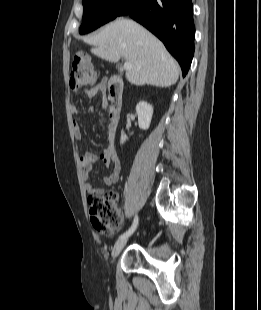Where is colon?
Masks as SVG:
<instances>
[{
  "label": "colon",
  "instance_id": "5ec220e1",
  "mask_svg": "<svg viewBox=\"0 0 261 310\" xmlns=\"http://www.w3.org/2000/svg\"><path fill=\"white\" fill-rule=\"evenodd\" d=\"M98 79V73L89 56L76 55L71 63L70 86L79 90L93 86ZM117 195L113 191L88 197L91 222L100 233L112 235L120 225V218L116 209Z\"/></svg>",
  "mask_w": 261,
  "mask_h": 310
}]
</instances>
